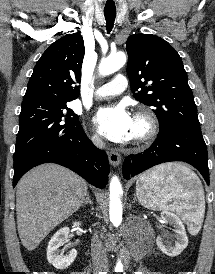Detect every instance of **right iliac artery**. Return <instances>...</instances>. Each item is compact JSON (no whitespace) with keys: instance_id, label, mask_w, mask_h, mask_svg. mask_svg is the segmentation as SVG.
Here are the masks:
<instances>
[{"instance_id":"1","label":"right iliac artery","mask_w":215,"mask_h":274,"mask_svg":"<svg viewBox=\"0 0 215 274\" xmlns=\"http://www.w3.org/2000/svg\"><path fill=\"white\" fill-rule=\"evenodd\" d=\"M99 274H107V272H99Z\"/></svg>"}]
</instances>
